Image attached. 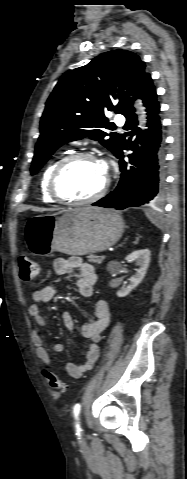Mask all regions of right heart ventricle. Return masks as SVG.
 <instances>
[{
    "instance_id": "obj_1",
    "label": "right heart ventricle",
    "mask_w": 187,
    "mask_h": 479,
    "mask_svg": "<svg viewBox=\"0 0 187 479\" xmlns=\"http://www.w3.org/2000/svg\"><path fill=\"white\" fill-rule=\"evenodd\" d=\"M60 161V159H54L52 160L43 170L41 178H40V183H39V189L41 193V197L44 202L47 203H52L55 200L50 196L49 191H48V182L50 175L56 166V164Z\"/></svg>"
}]
</instances>
